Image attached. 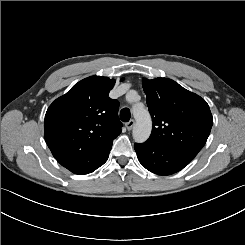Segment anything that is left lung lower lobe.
<instances>
[{
    "label": "left lung lower lobe",
    "mask_w": 245,
    "mask_h": 245,
    "mask_svg": "<svg viewBox=\"0 0 245 245\" xmlns=\"http://www.w3.org/2000/svg\"><path fill=\"white\" fill-rule=\"evenodd\" d=\"M135 151L143 167L158 175H171L186 167L191 160L176 152L149 142L135 143Z\"/></svg>",
    "instance_id": "1"
}]
</instances>
